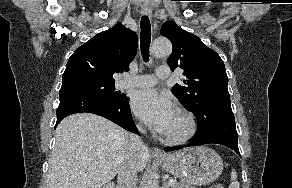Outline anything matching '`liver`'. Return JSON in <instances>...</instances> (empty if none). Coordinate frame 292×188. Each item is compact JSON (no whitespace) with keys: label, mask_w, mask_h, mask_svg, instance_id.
<instances>
[{"label":"liver","mask_w":292,"mask_h":188,"mask_svg":"<svg viewBox=\"0 0 292 188\" xmlns=\"http://www.w3.org/2000/svg\"><path fill=\"white\" fill-rule=\"evenodd\" d=\"M130 134L111 121L90 113L63 119L47 174V188H101L118 173L128 154ZM150 154L147 146L136 153L137 171ZM104 188V187H103Z\"/></svg>","instance_id":"liver-1"}]
</instances>
